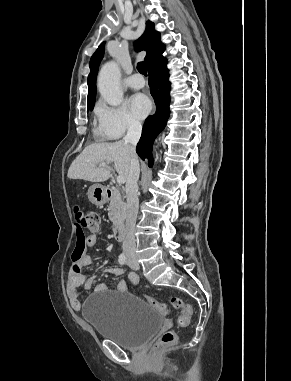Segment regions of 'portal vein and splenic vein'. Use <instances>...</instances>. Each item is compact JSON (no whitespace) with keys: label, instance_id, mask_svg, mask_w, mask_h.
<instances>
[{"label":"portal vein and splenic vein","instance_id":"portal-vein-and-splenic-vein-1","mask_svg":"<svg viewBox=\"0 0 291 381\" xmlns=\"http://www.w3.org/2000/svg\"><path fill=\"white\" fill-rule=\"evenodd\" d=\"M99 166L105 167V168L111 170V168L106 163H101V164H99ZM125 181H126L125 178H123V177H117V183L118 184H123V183H125Z\"/></svg>","mask_w":291,"mask_h":381}]
</instances>
